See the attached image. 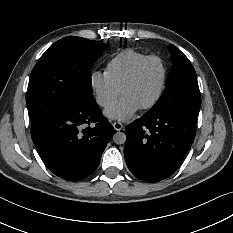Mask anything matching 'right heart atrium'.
Returning a JSON list of instances; mask_svg holds the SVG:
<instances>
[{
  "label": "right heart atrium",
  "mask_w": 233,
  "mask_h": 233,
  "mask_svg": "<svg viewBox=\"0 0 233 233\" xmlns=\"http://www.w3.org/2000/svg\"><path fill=\"white\" fill-rule=\"evenodd\" d=\"M89 84L96 102L103 108L114 105L121 95L120 89L116 88L104 73L97 70L91 72Z\"/></svg>",
  "instance_id": "obj_1"
}]
</instances>
